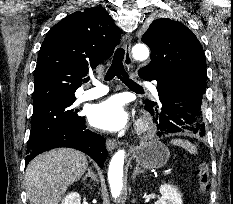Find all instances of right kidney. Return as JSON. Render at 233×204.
Masks as SVG:
<instances>
[{"label": "right kidney", "mask_w": 233, "mask_h": 204, "mask_svg": "<svg viewBox=\"0 0 233 204\" xmlns=\"http://www.w3.org/2000/svg\"><path fill=\"white\" fill-rule=\"evenodd\" d=\"M81 197L77 192H71L63 199L61 204H81Z\"/></svg>", "instance_id": "obj_1"}]
</instances>
